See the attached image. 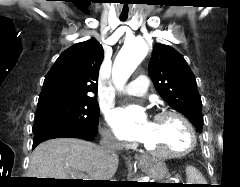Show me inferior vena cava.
<instances>
[{
  "mask_svg": "<svg viewBox=\"0 0 240 187\" xmlns=\"http://www.w3.org/2000/svg\"><path fill=\"white\" fill-rule=\"evenodd\" d=\"M120 147L117 140L108 133L103 134V138L100 141L101 153L107 157L112 158L116 155L115 151Z\"/></svg>",
  "mask_w": 240,
  "mask_h": 187,
  "instance_id": "1",
  "label": "inferior vena cava"
}]
</instances>
